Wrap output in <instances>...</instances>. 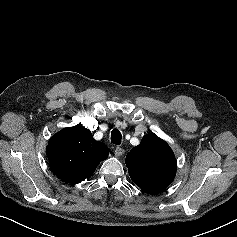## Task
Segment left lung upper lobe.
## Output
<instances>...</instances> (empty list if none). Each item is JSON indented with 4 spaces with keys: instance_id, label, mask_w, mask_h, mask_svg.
<instances>
[{
    "instance_id": "1",
    "label": "left lung upper lobe",
    "mask_w": 237,
    "mask_h": 237,
    "mask_svg": "<svg viewBox=\"0 0 237 237\" xmlns=\"http://www.w3.org/2000/svg\"><path fill=\"white\" fill-rule=\"evenodd\" d=\"M132 181L148 194H158L174 180L176 159L168 144L153 133L145 135L140 144L126 156Z\"/></svg>"
}]
</instances>
